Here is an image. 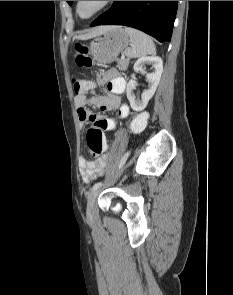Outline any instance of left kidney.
Returning a JSON list of instances; mask_svg holds the SVG:
<instances>
[{
  "label": "left kidney",
  "mask_w": 233,
  "mask_h": 295,
  "mask_svg": "<svg viewBox=\"0 0 233 295\" xmlns=\"http://www.w3.org/2000/svg\"><path fill=\"white\" fill-rule=\"evenodd\" d=\"M145 64H152L154 71L146 75L148 89L142 93L141 100H137L133 94V90L136 87V82L134 79H131L129 81L126 88L127 98L130 102L131 108L134 111H142L146 108L149 100L153 97L157 89L163 72V61L158 56L140 57L134 64V71H142L144 69Z\"/></svg>",
  "instance_id": "1"
}]
</instances>
